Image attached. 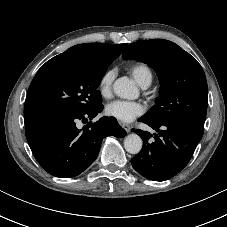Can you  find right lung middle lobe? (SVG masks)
<instances>
[{
  "mask_svg": "<svg viewBox=\"0 0 227 227\" xmlns=\"http://www.w3.org/2000/svg\"><path fill=\"white\" fill-rule=\"evenodd\" d=\"M75 59H50L36 73L28 91L30 112L38 117L56 113H79L101 104L97 87L108 66Z\"/></svg>",
  "mask_w": 227,
  "mask_h": 227,
  "instance_id": "obj_1",
  "label": "right lung middle lobe"
}]
</instances>
